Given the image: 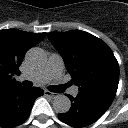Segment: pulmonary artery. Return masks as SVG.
Wrapping results in <instances>:
<instances>
[{"mask_svg":"<svg viewBox=\"0 0 128 128\" xmlns=\"http://www.w3.org/2000/svg\"><path fill=\"white\" fill-rule=\"evenodd\" d=\"M64 70L63 59L58 54H51L46 66L40 70L33 72L30 75H22V79H27L38 84H44L53 79L61 77ZM71 94L76 96L78 94V88L73 87L70 90Z\"/></svg>","mask_w":128,"mask_h":128,"instance_id":"obj_1","label":"pulmonary artery"}]
</instances>
